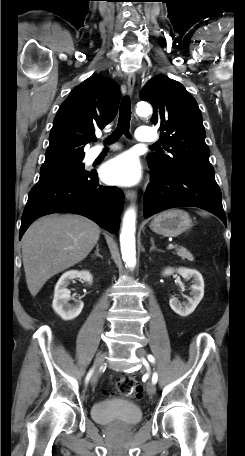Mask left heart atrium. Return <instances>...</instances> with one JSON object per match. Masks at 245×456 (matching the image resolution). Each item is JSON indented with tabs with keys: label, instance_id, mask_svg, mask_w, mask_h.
Wrapping results in <instances>:
<instances>
[{
	"label": "left heart atrium",
	"instance_id": "left-heart-atrium-1",
	"mask_svg": "<svg viewBox=\"0 0 245 456\" xmlns=\"http://www.w3.org/2000/svg\"><path fill=\"white\" fill-rule=\"evenodd\" d=\"M142 174L138 157L126 152L107 161L101 170L103 180L112 185L131 186L136 184Z\"/></svg>",
	"mask_w": 245,
	"mask_h": 456
}]
</instances>
